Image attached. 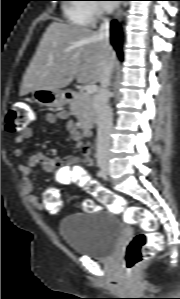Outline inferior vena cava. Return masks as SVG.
Masks as SVG:
<instances>
[{
	"label": "inferior vena cava",
	"instance_id": "1",
	"mask_svg": "<svg viewBox=\"0 0 180 299\" xmlns=\"http://www.w3.org/2000/svg\"><path fill=\"white\" fill-rule=\"evenodd\" d=\"M97 33L99 38L104 41L105 46H109V19H103V23ZM102 65L101 87L94 99V109L98 118L96 149L98 159L106 158L109 155L110 135L112 132V110L108 104V87L111 83L113 65L112 62L107 59L103 60Z\"/></svg>",
	"mask_w": 180,
	"mask_h": 299
}]
</instances>
